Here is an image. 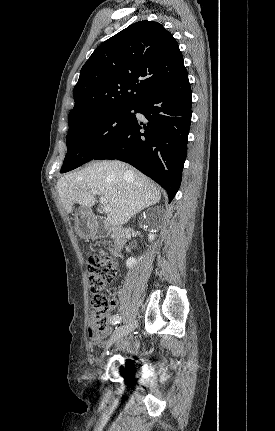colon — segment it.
<instances>
[{"label":"colon","instance_id":"colon-1","mask_svg":"<svg viewBox=\"0 0 275 431\" xmlns=\"http://www.w3.org/2000/svg\"><path fill=\"white\" fill-rule=\"evenodd\" d=\"M116 273L117 262L108 254L98 252L89 256L88 283L93 293L91 300L93 313L90 324L92 332H102L108 327L109 315L115 303L101 292Z\"/></svg>","mask_w":275,"mask_h":431}]
</instances>
